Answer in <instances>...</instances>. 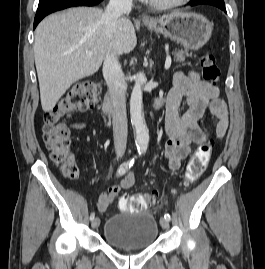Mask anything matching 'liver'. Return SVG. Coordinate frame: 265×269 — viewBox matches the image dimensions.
I'll return each instance as SVG.
<instances>
[{"instance_id": "liver-1", "label": "liver", "mask_w": 265, "mask_h": 269, "mask_svg": "<svg viewBox=\"0 0 265 269\" xmlns=\"http://www.w3.org/2000/svg\"><path fill=\"white\" fill-rule=\"evenodd\" d=\"M104 14L98 8L76 7L49 15L37 26L34 58L43 111L52 110L73 83L96 73L110 50L121 55L135 48L132 22L120 17L109 40Z\"/></svg>"}]
</instances>
